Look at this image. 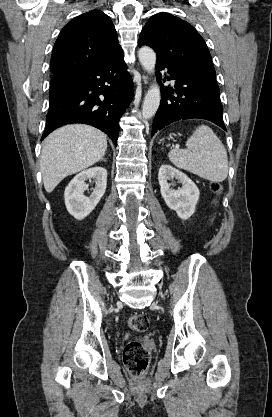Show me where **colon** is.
<instances>
[{
    "instance_id": "5ec220e1",
    "label": "colon",
    "mask_w": 272,
    "mask_h": 417,
    "mask_svg": "<svg viewBox=\"0 0 272 417\" xmlns=\"http://www.w3.org/2000/svg\"><path fill=\"white\" fill-rule=\"evenodd\" d=\"M212 191L219 195L223 187L220 183L211 184ZM213 217H211V221ZM128 327L135 332H144L149 325L148 319L142 314H133L128 318ZM123 361L127 370L135 377L139 378L145 372L149 362V352L139 341H131L126 344L123 352Z\"/></svg>"
}]
</instances>
